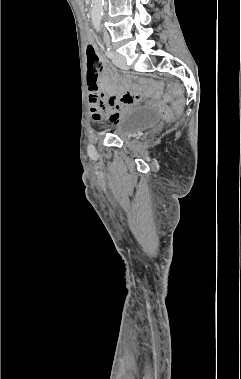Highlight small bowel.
Returning <instances> with one entry per match:
<instances>
[{
  "mask_svg": "<svg viewBox=\"0 0 241 379\" xmlns=\"http://www.w3.org/2000/svg\"><path fill=\"white\" fill-rule=\"evenodd\" d=\"M101 72L100 86L91 83L88 88L86 105L95 121L100 122L108 116V125H119L121 113L139 101V92L112 75L106 67L103 66ZM109 93H117L118 97L109 98Z\"/></svg>",
  "mask_w": 241,
  "mask_h": 379,
  "instance_id": "obj_1",
  "label": "small bowel"
}]
</instances>
